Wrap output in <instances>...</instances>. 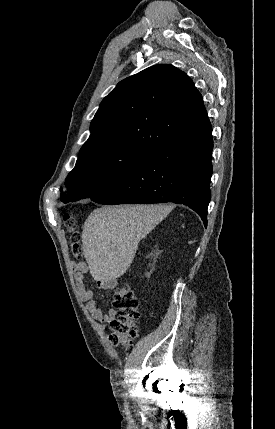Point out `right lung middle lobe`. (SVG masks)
Instances as JSON below:
<instances>
[{
    "label": "right lung middle lobe",
    "instance_id": "obj_1",
    "mask_svg": "<svg viewBox=\"0 0 275 429\" xmlns=\"http://www.w3.org/2000/svg\"><path fill=\"white\" fill-rule=\"evenodd\" d=\"M149 155L126 146H113L79 158L66 178L67 191H62L61 200L68 203L104 192L137 169Z\"/></svg>",
    "mask_w": 275,
    "mask_h": 429
}]
</instances>
